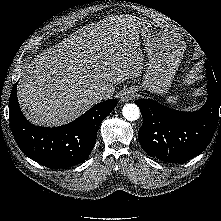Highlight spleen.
Here are the masks:
<instances>
[{
    "mask_svg": "<svg viewBox=\"0 0 221 221\" xmlns=\"http://www.w3.org/2000/svg\"><path fill=\"white\" fill-rule=\"evenodd\" d=\"M179 100V96H169L166 99V103L170 106H177Z\"/></svg>",
    "mask_w": 221,
    "mask_h": 221,
    "instance_id": "3e777b00",
    "label": "spleen"
}]
</instances>
